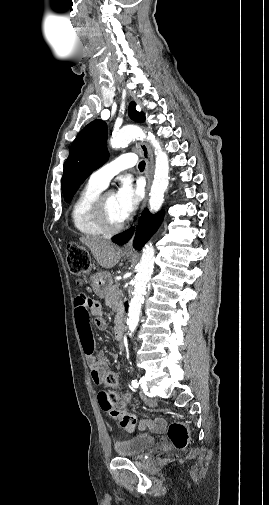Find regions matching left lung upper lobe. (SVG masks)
Instances as JSON below:
<instances>
[{"label": "left lung upper lobe", "instance_id": "5c2ea615", "mask_svg": "<svg viewBox=\"0 0 269 505\" xmlns=\"http://www.w3.org/2000/svg\"><path fill=\"white\" fill-rule=\"evenodd\" d=\"M135 106L134 102L129 105L130 118L137 122L145 121L144 113L138 112ZM106 140V123L98 119L85 126L73 141L62 178V191L66 202L70 203L80 184L92 171L107 161Z\"/></svg>", "mask_w": 269, "mask_h": 505}]
</instances>
